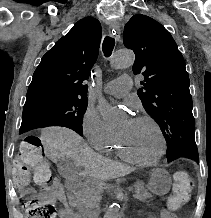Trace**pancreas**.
<instances>
[{
    "mask_svg": "<svg viewBox=\"0 0 211 218\" xmlns=\"http://www.w3.org/2000/svg\"><path fill=\"white\" fill-rule=\"evenodd\" d=\"M80 189L72 191L74 196L70 200V206L78 208L83 218H89V216H93L92 210H94L95 206L101 204V188L100 186H81ZM133 190H135L134 198H137V200H148V198H151V194L138 182L134 184Z\"/></svg>",
    "mask_w": 211,
    "mask_h": 218,
    "instance_id": "cf45deb5",
    "label": "pancreas"
}]
</instances>
